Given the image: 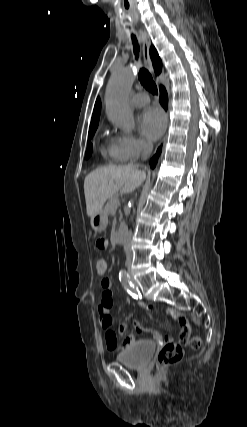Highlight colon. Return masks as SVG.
<instances>
[{
  "label": "colon",
  "instance_id": "colon-1",
  "mask_svg": "<svg viewBox=\"0 0 247 427\" xmlns=\"http://www.w3.org/2000/svg\"><path fill=\"white\" fill-rule=\"evenodd\" d=\"M100 239V238H99ZM95 269L98 274L103 275L108 269V261L104 257H97L94 261ZM201 341L198 337L190 340V345L193 348H198ZM183 357V348L181 344L168 342L161 348L157 358V365L159 367L171 365L179 362Z\"/></svg>",
  "mask_w": 247,
  "mask_h": 427
}]
</instances>
